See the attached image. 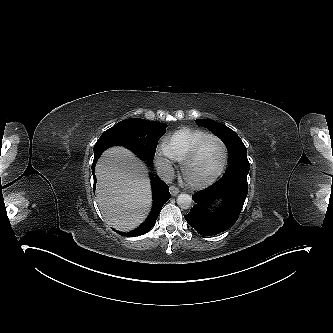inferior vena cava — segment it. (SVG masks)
<instances>
[{"mask_svg":"<svg viewBox=\"0 0 333 333\" xmlns=\"http://www.w3.org/2000/svg\"><path fill=\"white\" fill-rule=\"evenodd\" d=\"M157 174L166 183H170L174 178V170L171 163L168 160L162 161L158 168Z\"/></svg>","mask_w":333,"mask_h":333,"instance_id":"inferior-vena-cava-1","label":"inferior vena cava"}]
</instances>
